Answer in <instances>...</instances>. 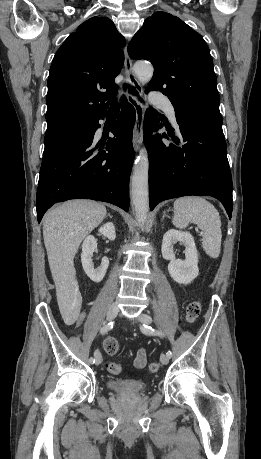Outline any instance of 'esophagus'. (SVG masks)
I'll return each mask as SVG.
<instances>
[{
  "mask_svg": "<svg viewBox=\"0 0 261 459\" xmlns=\"http://www.w3.org/2000/svg\"><path fill=\"white\" fill-rule=\"evenodd\" d=\"M125 53V73H126V80L128 85L132 86L136 91L137 95L129 94V100L134 105L136 111V122L133 132V147L135 151H138L143 139V121H144V106L139 100V95L142 94V86L138 79L136 78L134 71L132 60L128 55L127 47L124 49Z\"/></svg>",
  "mask_w": 261,
  "mask_h": 459,
  "instance_id": "obj_1",
  "label": "esophagus"
}]
</instances>
